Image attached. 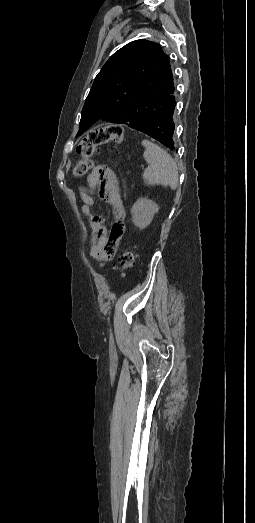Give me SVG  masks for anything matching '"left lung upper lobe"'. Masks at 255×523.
<instances>
[{
	"label": "left lung upper lobe",
	"mask_w": 255,
	"mask_h": 523,
	"mask_svg": "<svg viewBox=\"0 0 255 523\" xmlns=\"http://www.w3.org/2000/svg\"><path fill=\"white\" fill-rule=\"evenodd\" d=\"M174 91L170 58L161 46L147 40L130 42L96 76L77 137L99 119L129 127L156 121L155 115L163 116L166 107L175 102Z\"/></svg>",
	"instance_id": "obj_1"
}]
</instances>
